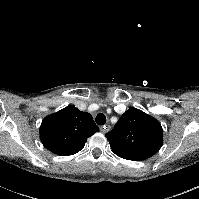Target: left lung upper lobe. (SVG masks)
Masks as SVG:
<instances>
[{"mask_svg":"<svg viewBox=\"0 0 199 199\" xmlns=\"http://www.w3.org/2000/svg\"><path fill=\"white\" fill-rule=\"evenodd\" d=\"M113 152L124 159L144 160L162 146L161 124L150 115L134 107L129 108L106 134Z\"/></svg>","mask_w":199,"mask_h":199,"instance_id":"5c2ea615","label":"left lung upper lobe"}]
</instances>
